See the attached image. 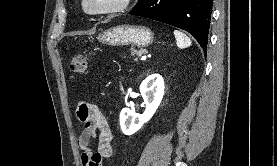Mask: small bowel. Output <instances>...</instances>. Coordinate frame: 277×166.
<instances>
[{
    "label": "small bowel",
    "mask_w": 277,
    "mask_h": 166,
    "mask_svg": "<svg viewBox=\"0 0 277 166\" xmlns=\"http://www.w3.org/2000/svg\"><path fill=\"white\" fill-rule=\"evenodd\" d=\"M77 117L83 124L78 137L80 160L82 166H101L105 158L112 156L113 135L107 119L100 109L89 103H82L77 108ZM97 142V149L93 151L91 145Z\"/></svg>",
    "instance_id": "obj_1"
}]
</instances>
